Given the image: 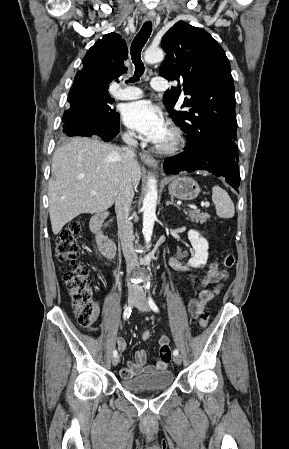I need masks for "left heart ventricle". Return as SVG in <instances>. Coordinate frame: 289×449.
Segmentation results:
<instances>
[{"label": "left heart ventricle", "instance_id": "b2bd125f", "mask_svg": "<svg viewBox=\"0 0 289 449\" xmlns=\"http://www.w3.org/2000/svg\"><path fill=\"white\" fill-rule=\"evenodd\" d=\"M167 140V132L165 133L164 137L162 138V140L160 141V143L165 142Z\"/></svg>", "mask_w": 289, "mask_h": 449}]
</instances>
